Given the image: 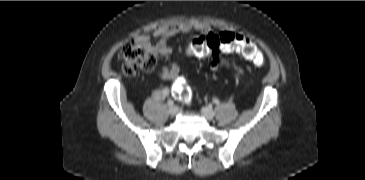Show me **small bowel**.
Masks as SVG:
<instances>
[{
  "mask_svg": "<svg viewBox=\"0 0 365 180\" xmlns=\"http://www.w3.org/2000/svg\"><path fill=\"white\" fill-rule=\"evenodd\" d=\"M191 31H197L201 34V36L195 40L207 37L208 35H216V33L211 32L210 27L206 23L188 21L156 29L153 33V37L157 40L155 44H152L149 36H142L139 38V41L146 45L153 52L156 58L161 59L172 53L173 48L170 43V39L172 37L183 33H189ZM221 67H227L230 69L235 80H240L242 78L243 71L239 66H237L232 60L226 61L213 52L212 70L216 71ZM157 73L159 77L164 80L176 82L180 75V67L175 63H171L159 67ZM168 94V88H161L155 91L156 98L161 100L165 99Z\"/></svg>",
  "mask_w": 365,
  "mask_h": 180,
  "instance_id": "c3829d8e",
  "label": "small bowel"
}]
</instances>
